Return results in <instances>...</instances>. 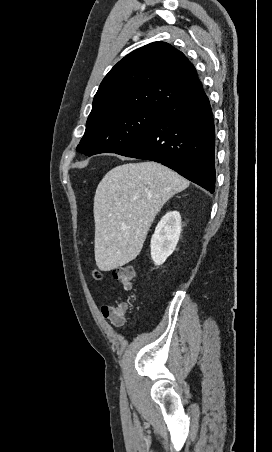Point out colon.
Wrapping results in <instances>:
<instances>
[{"label":"colon","instance_id":"1","mask_svg":"<svg viewBox=\"0 0 272 452\" xmlns=\"http://www.w3.org/2000/svg\"><path fill=\"white\" fill-rule=\"evenodd\" d=\"M116 280L126 289L130 288L134 278L135 272L132 266L123 265L117 268L114 272ZM93 276L96 280H101L103 278L102 272L99 270H94ZM108 312L115 313L117 315H123L127 313L128 306L127 304H120L118 306L108 305Z\"/></svg>","mask_w":272,"mask_h":452}]
</instances>
